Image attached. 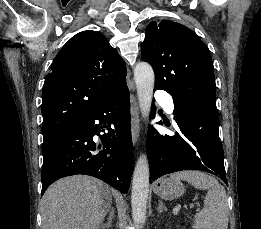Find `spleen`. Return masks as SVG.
<instances>
[{"instance_id":"obj_1","label":"spleen","mask_w":261,"mask_h":229,"mask_svg":"<svg viewBox=\"0 0 261 229\" xmlns=\"http://www.w3.org/2000/svg\"><path fill=\"white\" fill-rule=\"evenodd\" d=\"M170 177L177 181H187L195 189H208L205 207L195 215L199 229H227L229 209L226 191L216 179L201 171H180L172 173Z\"/></svg>"}]
</instances>
